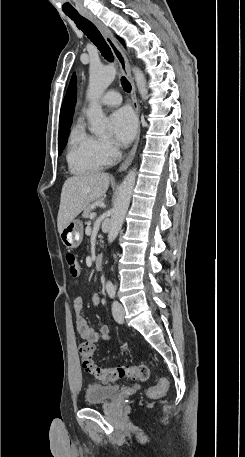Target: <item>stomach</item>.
<instances>
[{
	"label": "stomach",
	"mask_w": 245,
	"mask_h": 457,
	"mask_svg": "<svg viewBox=\"0 0 245 457\" xmlns=\"http://www.w3.org/2000/svg\"><path fill=\"white\" fill-rule=\"evenodd\" d=\"M60 239L69 251L77 249L83 239L82 220H79V218H73V220H70V222L64 226L62 233H60Z\"/></svg>",
	"instance_id": "stomach-1"
}]
</instances>
